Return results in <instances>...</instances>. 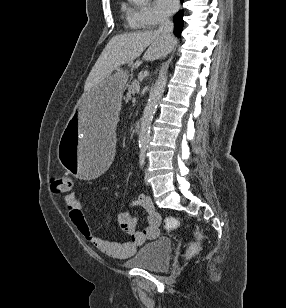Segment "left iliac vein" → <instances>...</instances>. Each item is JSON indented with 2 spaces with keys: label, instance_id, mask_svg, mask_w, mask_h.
<instances>
[{
  "label": "left iliac vein",
  "instance_id": "obj_1",
  "mask_svg": "<svg viewBox=\"0 0 286 308\" xmlns=\"http://www.w3.org/2000/svg\"><path fill=\"white\" fill-rule=\"evenodd\" d=\"M147 179H148V171L145 170L144 180H145V183H146V184H148Z\"/></svg>",
  "mask_w": 286,
  "mask_h": 308
}]
</instances>
